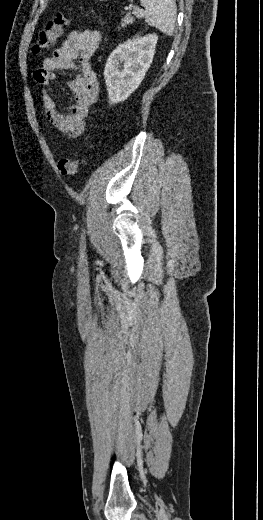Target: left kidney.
Returning <instances> with one entry per match:
<instances>
[{
  "label": "left kidney",
  "instance_id": "1",
  "mask_svg": "<svg viewBox=\"0 0 263 520\" xmlns=\"http://www.w3.org/2000/svg\"><path fill=\"white\" fill-rule=\"evenodd\" d=\"M157 40L155 34L137 37L111 53L104 70L110 103L126 100L138 88L153 61Z\"/></svg>",
  "mask_w": 263,
  "mask_h": 520
}]
</instances>
